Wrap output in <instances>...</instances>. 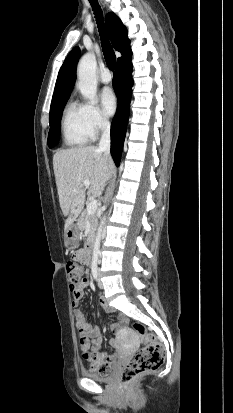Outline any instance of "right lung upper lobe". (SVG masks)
I'll return each instance as SVG.
<instances>
[{
	"label": "right lung upper lobe",
	"mask_w": 233,
	"mask_h": 413,
	"mask_svg": "<svg viewBox=\"0 0 233 413\" xmlns=\"http://www.w3.org/2000/svg\"><path fill=\"white\" fill-rule=\"evenodd\" d=\"M105 21L112 45L115 50L119 51L122 54L121 58L131 53L130 40L127 37V30L126 27L122 24L119 17L110 12L108 13V15H106ZM79 56L80 49L78 47H75L65 59L58 73L51 104H55L69 98L76 79L75 66L79 59ZM121 58H119L118 60H120Z\"/></svg>",
	"instance_id": "1"
}]
</instances>
